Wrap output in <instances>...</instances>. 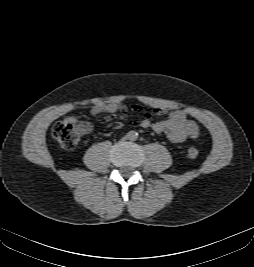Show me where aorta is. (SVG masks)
<instances>
[{
  "mask_svg": "<svg viewBox=\"0 0 254 267\" xmlns=\"http://www.w3.org/2000/svg\"><path fill=\"white\" fill-rule=\"evenodd\" d=\"M128 138L130 139V140H136L137 138H138V133L137 132H135V131H130L129 133H128Z\"/></svg>",
  "mask_w": 254,
  "mask_h": 267,
  "instance_id": "1",
  "label": "aorta"
}]
</instances>
